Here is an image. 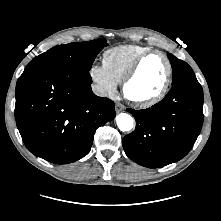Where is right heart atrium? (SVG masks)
Here are the masks:
<instances>
[{"mask_svg": "<svg viewBox=\"0 0 221 221\" xmlns=\"http://www.w3.org/2000/svg\"><path fill=\"white\" fill-rule=\"evenodd\" d=\"M90 81L101 97L114 98L117 95V83L108 74L103 65L93 63L88 70Z\"/></svg>", "mask_w": 221, "mask_h": 221, "instance_id": "obj_1", "label": "right heart atrium"}]
</instances>
